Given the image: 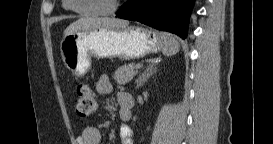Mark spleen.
I'll use <instances>...</instances> for the list:
<instances>
[{"label":"spleen","instance_id":"spleen-1","mask_svg":"<svg viewBox=\"0 0 273 144\" xmlns=\"http://www.w3.org/2000/svg\"><path fill=\"white\" fill-rule=\"evenodd\" d=\"M159 36L162 42V52L164 55L171 56L179 51V44L171 34L160 33Z\"/></svg>","mask_w":273,"mask_h":144}]
</instances>
